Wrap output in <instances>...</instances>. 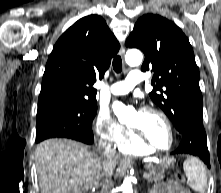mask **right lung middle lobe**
Wrapping results in <instances>:
<instances>
[{
	"mask_svg": "<svg viewBox=\"0 0 221 193\" xmlns=\"http://www.w3.org/2000/svg\"><path fill=\"white\" fill-rule=\"evenodd\" d=\"M96 104H52L38 107L36 142L52 137H66L86 142L92 139V120Z\"/></svg>",
	"mask_w": 221,
	"mask_h": 193,
	"instance_id": "right-lung-middle-lobe-1",
	"label": "right lung middle lobe"
}]
</instances>
